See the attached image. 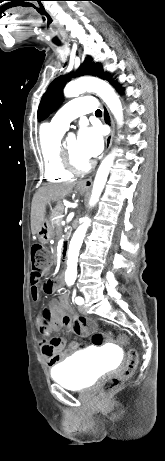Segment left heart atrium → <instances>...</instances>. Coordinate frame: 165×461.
Here are the masks:
<instances>
[{
  "mask_svg": "<svg viewBox=\"0 0 165 461\" xmlns=\"http://www.w3.org/2000/svg\"><path fill=\"white\" fill-rule=\"evenodd\" d=\"M77 144L80 154L90 160L102 151L103 137L98 128L84 125L79 130Z\"/></svg>",
  "mask_w": 165,
  "mask_h": 461,
  "instance_id": "1",
  "label": "left heart atrium"
}]
</instances>
